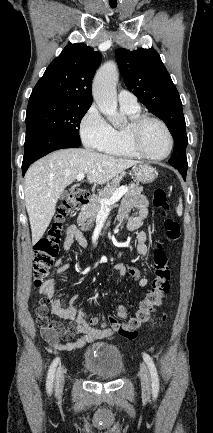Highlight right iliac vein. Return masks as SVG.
<instances>
[{
  "label": "right iliac vein",
  "instance_id": "63e3f726",
  "mask_svg": "<svg viewBox=\"0 0 213 433\" xmlns=\"http://www.w3.org/2000/svg\"><path fill=\"white\" fill-rule=\"evenodd\" d=\"M65 368L63 366L59 367L56 373V378H55V392L56 394L60 395L63 391V387H64V383H65V379H64V375H65Z\"/></svg>",
  "mask_w": 213,
  "mask_h": 433
}]
</instances>
